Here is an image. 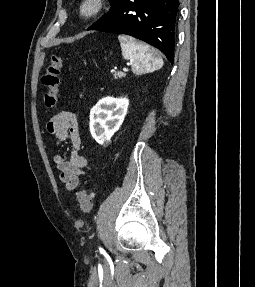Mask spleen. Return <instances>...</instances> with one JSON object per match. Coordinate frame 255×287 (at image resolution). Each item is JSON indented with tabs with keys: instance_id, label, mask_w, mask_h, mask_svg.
I'll list each match as a JSON object with an SVG mask.
<instances>
[{
	"instance_id": "3e777b00",
	"label": "spleen",
	"mask_w": 255,
	"mask_h": 287,
	"mask_svg": "<svg viewBox=\"0 0 255 287\" xmlns=\"http://www.w3.org/2000/svg\"><path fill=\"white\" fill-rule=\"evenodd\" d=\"M118 40L121 44L123 58L125 60H133V68H145V70H159L163 66L162 58L155 56L154 50H150V46L143 44V42H137L130 36H118ZM154 58H151V56Z\"/></svg>"
}]
</instances>
